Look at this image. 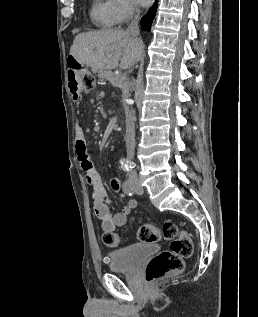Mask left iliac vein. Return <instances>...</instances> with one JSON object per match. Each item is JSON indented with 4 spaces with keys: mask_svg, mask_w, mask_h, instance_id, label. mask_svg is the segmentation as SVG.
Returning a JSON list of instances; mask_svg holds the SVG:
<instances>
[{
    "mask_svg": "<svg viewBox=\"0 0 258 317\" xmlns=\"http://www.w3.org/2000/svg\"><path fill=\"white\" fill-rule=\"evenodd\" d=\"M139 178H133V177H130L129 179H128V182L130 183V184H133L134 183V185H133V188H134V193L136 194V195H141L142 193H143V187L141 186V184H139Z\"/></svg>",
    "mask_w": 258,
    "mask_h": 317,
    "instance_id": "4c4485c4",
    "label": "left iliac vein"
}]
</instances>
